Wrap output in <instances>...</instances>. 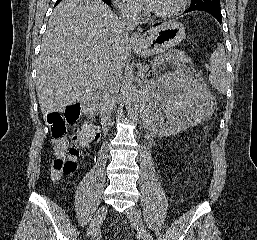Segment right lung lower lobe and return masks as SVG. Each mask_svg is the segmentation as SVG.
<instances>
[{
  "label": "right lung lower lobe",
  "instance_id": "98d812e1",
  "mask_svg": "<svg viewBox=\"0 0 257 240\" xmlns=\"http://www.w3.org/2000/svg\"><path fill=\"white\" fill-rule=\"evenodd\" d=\"M104 1V0H103ZM105 2V1H104ZM105 3H107L108 5H110L111 4V2H105Z\"/></svg>",
  "mask_w": 257,
  "mask_h": 240
}]
</instances>
